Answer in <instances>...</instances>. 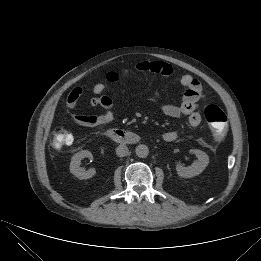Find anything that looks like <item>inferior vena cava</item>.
<instances>
[{"label": "inferior vena cava", "instance_id": "602c4592", "mask_svg": "<svg viewBox=\"0 0 261 261\" xmlns=\"http://www.w3.org/2000/svg\"><path fill=\"white\" fill-rule=\"evenodd\" d=\"M128 147L126 145H119L116 149V154L119 157H124L128 154Z\"/></svg>", "mask_w": 261, "mask_h": 261}]
</instances>
